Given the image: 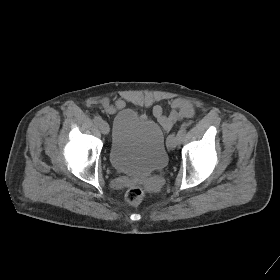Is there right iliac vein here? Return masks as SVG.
<instances>
[{
  "mask_svg": "<svg viewBox=\"0 0 280 280\" xmlns=\"http://www.w3.org/2000/svg\"><path fill=\"white\" fill-rule=\"evenodd\" d=\"M99 129L102 132V134L109 133V125L104 121L99 125Z\"/></svg>",
  "mask_w": 280,
  "mask_h": 280,
  "instance_id": "obj_1",
  "label": "right iliac vein"
}]
</instances>
